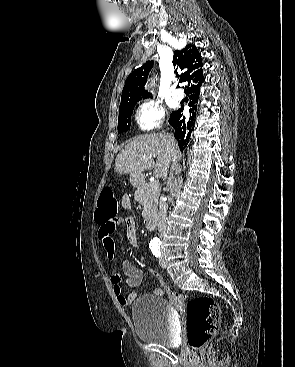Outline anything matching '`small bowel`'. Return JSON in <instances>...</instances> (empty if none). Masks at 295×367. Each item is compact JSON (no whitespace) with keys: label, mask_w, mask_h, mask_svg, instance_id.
Returning <instances> with one entry per match:
<instances>
[{"label":"small bowel","mask_w":295,"mask_h":367,"mask_svg":"<svg viewBox=\"0 0 295 367\" xmlns=\"http://www.w3.org/2000/svg\"><path fill=\"white\" fill-rule=\"evenodd\" d=\"M122 206L124 209L131 208V202L128 196H124L122 199ZM121 223L126 225L127 237L132 244V246L138 248L139 237L136 221L133 217H118L112 221L99 223L98 239L101 242L107 258L111 261L114 259L115 254V243L113 239V233L117 226ZM121 269L125 275V279L122 278L121 274L113 273L110 277L111 284L113 286V292L117 298L118 303L122 307H127L133 303V301L138 297L137 288L141 285L143 281V271L132 264L130 261L123 259L121 261ZM124 282L128 288L132 289L131 292L126 296L123 294L121 283ZM156 295H161L162 290L156 288L154 290Z\"/></svg>","instance_id":"c3829d8e"}]
</instances>
